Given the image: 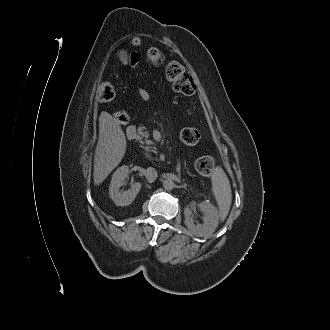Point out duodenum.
<instances>
[{
	"mask_svg": "<svg viewBox=\"0 0 330 330\" xmlns=\"http://www.w3.org/2000/svg\"><path fill=\"white\" fill-rule=\"evenodd\" d=\"M135 132H136V130H135L134 127L128 128V130H127V136H128V138L130 140H132L134 138Z\"/></svg>",
	"mask_w": 330,
	"mask_h": 330,
	"instance_id": "duodenum-1",
	"label": "duodenum"
}]
</instances>
